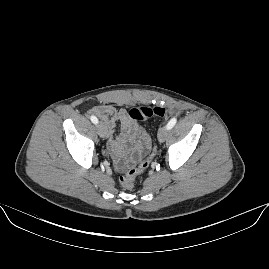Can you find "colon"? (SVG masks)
Segmentation results:
<instances>
[{
    "instance_id": "obj_1",
    "label": "colon",
    "mask_w": 269,
    "mask_h": 269,
    "mask_svg": "<svg viewBox=\"0 0 269 269\" xmlns=\"http://www.w3.org/2000/svg\"><path fill=\"white\" fill-rule=\"evenodd\" d=\"M165 114L166 110L162 106H137L131 108L129 112L130 117L137 121L145 120L151 116L163 117ZM153 155V148L143 152L139 159L138 165L125 170L124 174L120 177V184L123 188L131 189L134 187L137 176L149 166Z\"/></svg>"
}]
</instances>
